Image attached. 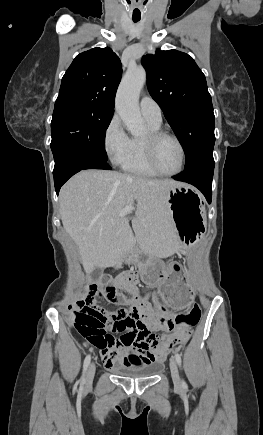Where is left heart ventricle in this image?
<instances>
[{"label":"left heart ventricle","instance_id":"b2bd125f","mask_svg":"<svg viewBox=\"0 0 263 435\" xmlns=\"http://www.w3.org/2000/svg\"><path fill=\"white\" fill-rule=\"evenodd\" d=\"M156 161L158 166L165 172L178 170L182 162V154L175 141L164 138L156 147Z\"/></svg>","mask_w":263,"mask_h":435}]
</instances>
